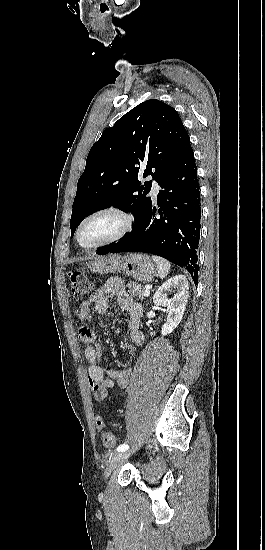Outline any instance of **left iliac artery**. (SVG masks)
Wrapping results in <instances>:
<instances>
[{"mask_svg": "<svg viewBox=\"0 0 265 550\" xmlns=\"http://www.w3.org/2000/svg\"><path fill=\"white\" fill-rule=\"evenodd\" d=\"M129 448V446L127 444H121L117 447V451L118 452H121V451H126L127 449Z\"/></svg>", "mask_w": 265, "mask_h": 550, "instance_id": "1", "label": "left iliac artery"}]
</instances>
